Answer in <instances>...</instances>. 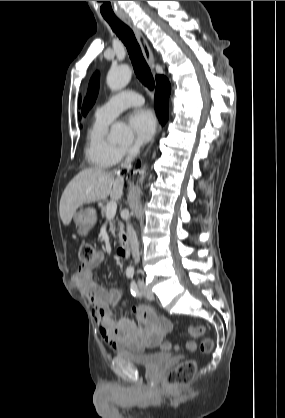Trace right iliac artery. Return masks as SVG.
Returning <instances> with one entry per match:
<instances>
[{
	"label": "right iliac artery",
	"mask_w": 285,
	"mask_h": 418,
	"mask_svg": "<svg viewBox=\"0 0 285 418\" xmlns=\"http://www.w3.org/2000/svg\"><path fill=\"white\" fill-rule=\"evenodd\" d=\"M126 275H127V277H128V278H132V277H133V275H134V270H133V269H131V268H128V269L126 270Z\"/></svg>",
	"instance_id": "1"
}]
</instances>
